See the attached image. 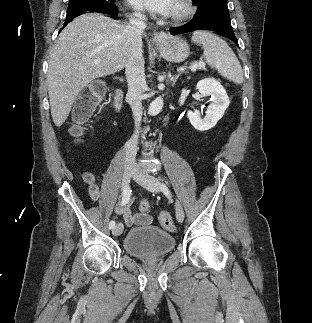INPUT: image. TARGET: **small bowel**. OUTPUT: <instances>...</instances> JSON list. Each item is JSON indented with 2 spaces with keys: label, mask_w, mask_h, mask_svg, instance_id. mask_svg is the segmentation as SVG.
Returning a JSON list of instances; mask_svg holds the SVG:
<instances>
[{
  "label": "small bowel",
  "mask_w": 312,
  "mask_h": 323,
  "mask_svg": "<svg viewBox=\"0 0 312 323\" xmlns=\"http://www.w3.org/2000/svg\"><path fill=\"white\" fill-rule=\"evenodd\" d=\"M83 181L88 185L89 194L93 200L100 197V187L97 176L92 172L83 173ZM133 200L127 205L117 206L116 214L121 215L124 223L128 227L147 225L151 222V217L147 213H134L131 209Z\"/></svg>",
  "instance_id": "c3829d8e"
}]
</instances>
